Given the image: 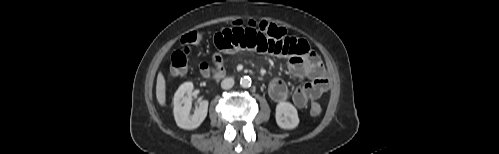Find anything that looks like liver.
<instances>
[{
    "instance_id": "1",
    "label": "liver",
    "mask_w": 499,
    "mask_h": 154,
    "mask_svg": "<svg viewBox=\"0 0 499 154\" xmlns=\"http://www.w3.org/2000/svg\"><path fill=\"white\" fill-rule=\"evenodd\" d=\"M156 98L162 107L166 105V81L161 71L157 76Z\"/></svg>"
}]
</instances>
